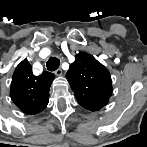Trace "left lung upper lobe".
Segmentation results:
<instances>
[{"mask_svg":"<svg viewBox=\"0 0 147 147\" xmlns=\"http://www.w3.org/2000/svg\"><path fill=\"white\" fill-rule=\"evenodd\" d=\"M70 65L66 78L78 103L90 111L104 107L112 94L110 73L92 55L81 52Z\"/></svg>","mask_w":147,"mask_h":147,"instance_id":"obj_1","label":"left lung upper lobe"}]
</instances>
